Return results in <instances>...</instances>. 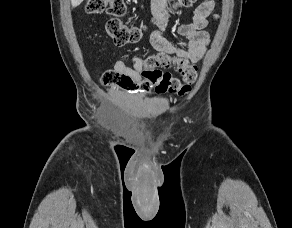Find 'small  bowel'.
<instances>
[{
	"mask_svg": "<svg viewBox=\"0 0 292 228\" xmlns=\"http://www.w3.org/2000/svg\"><path fill=\"white\" fill-rule=\"evenodd\" d=\"M165 2L166 0H152L151 7L158 20V30L151 35L150 43L158 52L156 56H165L174 61L194 66L202 59L209 44V34L205 28L208 24L207 19L215 7V0H203L195 9L192 21L178 26L177 33L188 40L184 48L176 47L164 36L168 24L167 14L164 10ZM113 67L115 71L139 81L146 68V60L133 56L130 65L123 61H116Z\"/></svg>",
	"mask_w": 292,
	"mask_h": 228,
	"instance_id": "1",
	"label": "small bowel"
}]
</instances>
